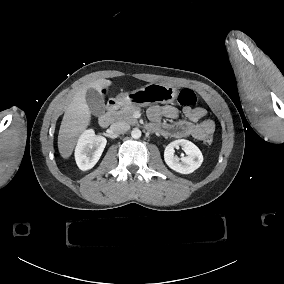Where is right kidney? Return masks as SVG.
Here are the masks:
<instances>
[{
	"label": "right kidney",
	"instance_id": "obj_1",
	"mask_svg": "<svg viewBox=\"0 0 284 284\" xmlns=\"http://www.w3.org/2000/svg\"><path fill=\"white\" fill-rule=\"evenodd\" d=\"M107 140L95 135L93 129L85 130L78 139L75 148V160L79 169L86 171L98 162Z\"/></svg>",
	"mask_w": 284,
	"mask_h": 284
}]
</instances>
